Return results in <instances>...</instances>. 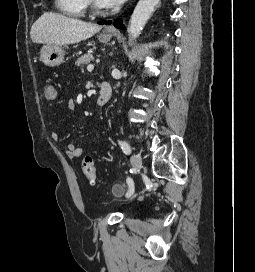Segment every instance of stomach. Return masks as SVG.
Segmentation results:
<instances>
[{
  "mask_svg": "<svg viewBox=\"0 0 255 272\" xmlns=\"http://www.w3.org/2000/svg\"><path fill=\"white\" fill-rule=\"evenodd\" d=\"M112 39V34L101 33L98 40L101 43H108ZM40 60L48 67L61 65L64 60V49L62 45H46L40 50Z\"/></svg>",
  "mask_w": 255,
  "mask_h": 272,
  "instance_id": "stomach-1",
  "label": "stomach"
}]
</instances>
